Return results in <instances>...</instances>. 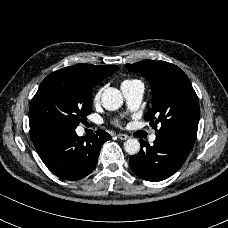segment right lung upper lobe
Returning a JSON list of instances; mask_svg holds the SVG:
<instances>
[{"label": "right lung upper lobe", "mask_w": 228, "mask_h": 228, "mask_svg": "<svg viewBox=\"0 0 228 228\" xmlns=\"http://www.w3.org/2000/svg\"><path fill=\"white\" fill-rule=\"evenodd\" d=\"M118 69V66H100L92 64H77L62 68L54 73L71 74L83 79L86 83L96 86L99 81L110 76Z\"/></svg>", "instance_id": "right-lung-upper-lobe-1"}]
</instances>
